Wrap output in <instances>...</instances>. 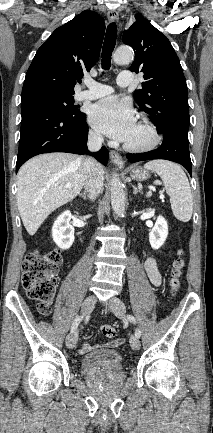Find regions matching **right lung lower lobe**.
Segmentation results:
<instances>
[{
	"label": "right lung lower lobe",
	"mask_w": 213,
	"mask_h": 433,
	"mask_svg": "<svg viewBox=\"0 0 213 433\" xmlns=\"http://www.w3.org/2000/svg\"><path fill=\"white\" fill-rule=\"evenodd\" d=\"M22 122L16 172L28 159L42 153L68 152L89 154L103 165L108 162V150L96 153L87 150L88 125L86 115L72 118L56 108L34 101H23Z\"/></svg>",
	"instance_id": "1"
}]
</instances>
